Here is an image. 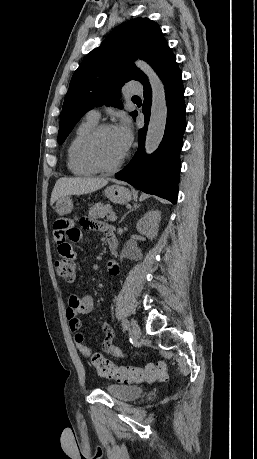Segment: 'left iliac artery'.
Returning <instances> with one entry per match:
<instances>
[{"label": "left iliac artery", "instance_id": "obj_1", "mask_svg": "<svg viewBox=\"0 0 257 459\" xmlns=\"http://www.w3.org/2000/svg\"><path fill=\"white\" fill-rule=\"evenodd\" d=\"M122 326L125 330H127L129 328V322L128 320H123L122 321Z\"/></svg>", "mask_w": 257, "mask_h": 459}]
</instances>
